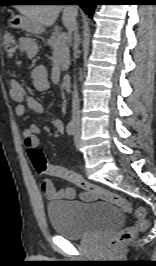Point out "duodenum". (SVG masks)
<instances>
[{
	"instance_id": "1",
	"label": "duodenum",
	"mask_w": 156,
	"mask_h": 266,
	"mask_svg": "<svg viewBox=\"0 0 156 266\" xmlns=\"http://www.w3.org/2000/svg\"><path fill=\"white\" fill-rule=\"evenodd\" d=\"M62 85L65 89H70L71 87V76L69 74H64L61 79Z\"/></svg>"
}]
</instances>
